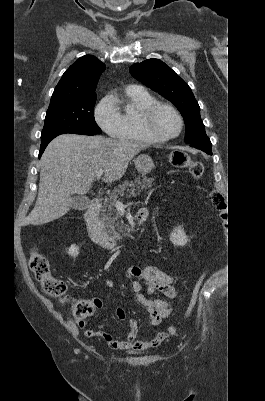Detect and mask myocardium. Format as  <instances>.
<instances>
[{"instance_id": "f54148a6", "label": "myocardium", "mask_w": 265, "mask_h": 401, "mask_svg": "<svg viewBox=\"0 0 265 401\" xmlns=\"http://www.w3.org/2000/svg\"><path fill=\"white\" fill-rule=\"evenodd\" d=\"M159 108H164V109L169 110L178 118L180 127H179V131L176 135L168 137V138H164V139H158L152 135L151 130H150V119H151L152 115L154 114V112L156 110H158ZM139 121H140L141 129L143 130L144 134L146 135L148 141L154 142V143H165V142L172 141V140L180 137V135L182 134V132L184 130V119H183L182 114L172 105L164 103V102H160V101H155L154 103H152L151 105L146 107L142 111Z\"/></svg>"}]
</instances>
